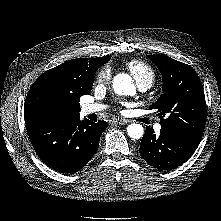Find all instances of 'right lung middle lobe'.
I'll list each match as a JSON object with an SVG mask.
<instances>
[{"label":"right lung middle lobe","mask_w":221,"mask_h":221,"mask_svg":"<svg viewBox=\"0 0 221 221\" xmlns=\"http://www.w3.org/2000/svg\"><path fill=\"white\" fill-rule=\"evenodd\" d=\"M81 94L69 93L56 84L43 82L32 85L25 102V111L33 116L50 115L66 105L79 108Z\"/></svg>","instance_id":"right-lung-middle-lobe-1"}]
</instances>
